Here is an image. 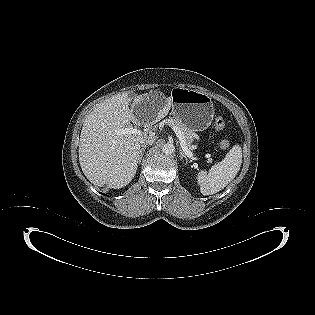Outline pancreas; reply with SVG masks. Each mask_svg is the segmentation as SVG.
<instances>
[{
	"mask_svg": "<svg viewBox=\"0 0 315 315\" xmlns=\"http://www.w3.org/2000/svg\"><path fill=\"white\" fill-rule=\"evenodd\" d=\"M167 123L171 126L178 127L182 133L184 134L186 138L187 146L191 149L192 148V142L195 138H197V135L193 130L188 128L180 119L178 118H171L167 120Z\"/></svg>",
	"mask_w": 315,
	"mask_h": 315,
	"instance_id": "1",
	"label": "pancreas"
}]
</instances>
